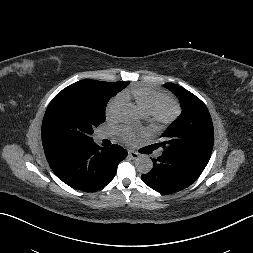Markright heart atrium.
Returning <instances> with one entry per match:
<instances>
[{
  "instance_id": "1",
  "label": "right heart atrium",
  "mask_w": 253,
  "mask_h": 253,
  "mask_svg": "<svg viewBox=\"0 0 253 253\" xmlns=\"http://www.w3.org/2000/svg\"><path fill=\"white\" fill-rule=\"evenodd\" d=\"M124 101L125 100L121 94L109 101L106 107V118L108 121H114L118 118Z\"/></svg>"
}]
</instances>
